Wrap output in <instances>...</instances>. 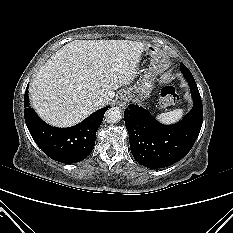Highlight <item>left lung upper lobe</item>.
I'll return each mask as SVG.
<instances>
[{
	"mask_svg": "<svg viewBox=\"0 0 233 233\" xmlns=\"http://www.w3.org/2000/svg\"><path fill=\"white\" fill-rule=\"evenodd\" d=\"M180 68H181V72L184 75V77L186 78V80H194L191 72L187 69V67L185 65H183L181 63Z\"/></svg>",
	"mask_w": 233,
	"mask_h": 233,
	"instance_id": "1",
	"label": "left lung upper lobe"
}]
</instances>
